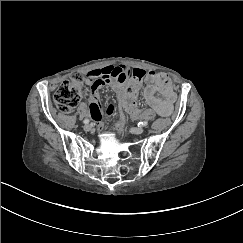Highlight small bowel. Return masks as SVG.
Wrapping results in <instances>:
<instances>
[{"mask_svg": "<svg viewBox=\"0 0 243 243\" xmlns=\"http://www.w3.org/2000/svg\"><path fill=\"white\" fill-rule=\"evenodd\" d=\"M136 71L142 72L147 82L144 96L149 106L159 115L169 116L173 110L176 94L168 76L163 72H147L139 69ZM129 74L130 69L124 65L105 66L85 73L84 81L91 85L89 111L95 121L100 122L104 116L113 115L115 110L113 105H108L105 110L101 108L98 90L104 85L119 90Z\"/></svg>", "mask_w": 243, "mask_h": 243, "instance_id": "1", "label": "small bowel"}]
</instances>
